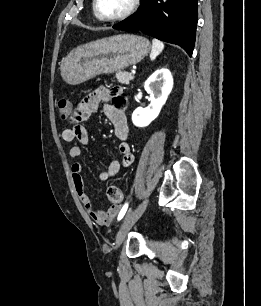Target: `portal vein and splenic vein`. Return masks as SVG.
<instances>
[{"label": "portal vein and splenic vein", "instance_id": "18ae733b", "mask_svg": "<svg viewBox=\"0 0 261 306\" xmlns=\"http://www.w3.org/2000/svg\"><path fill=\"white\" fill-rule=\"evenodd\" d=\"M131 73H132V74H135V73H136V71H135V70H132V71H131Z\"/></svg>", "mask_w": 261, "mask_h": 306}]
</instances>
